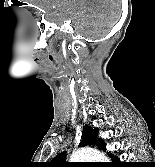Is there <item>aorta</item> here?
<instances>
[{
	"instance_id": "762f6f07",
	"label": "aorta",
	"mask_w": 155,
	"mask_h": 167,
	"mask_svg": "<svg viewBox=\"0 0 155 167\" xmlns=\"http://www.w3.org/2000/svg\"><path fill=\"white\" fill-rule=\"evenodd\" d=\"M106 160L104 154L92 148L77 150L70 156L71 162H106Z\"/></svg>"
}]
</instances>
